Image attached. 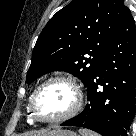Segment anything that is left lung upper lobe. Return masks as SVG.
<instances>
[{"label":"left lung upper lobe","instance_id":"left-lung-upper-lobe-1","mask_svg":"<svg viewBox=\"0 0 136 136\" xmlns=\"http://www.w3.org/2000/svg\"><path fill=\"white\" fill-rule=\"evenodd\" d=\"M128 11L122 0H73L39 35L27 83L51 71H66L87 87Z\"/></svg>","mask_w":136,"mask_h":136}]
</instances>
